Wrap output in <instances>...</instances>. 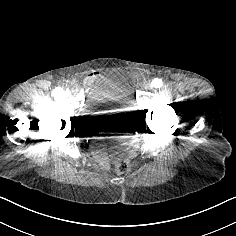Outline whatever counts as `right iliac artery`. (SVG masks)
Returning <instances> with one entry per match:
<instances>
[{
  "instance_id": "right-iliac-artery-1",
  "label": "right iliac artery",
  "mask_w": 236,
  "mask_h": 236,
  "mask_svg": "<svg viewBox=\"0 0 236 236\" xmlns=\"http://www.w3.org/2000/svg\"><path fill=\"white\" fill-rule=\"evenodd\" d=\"M54 96L55 97H63L64 96V92H63V89H61L60 87H57L54 89Z\"/></svg>"
}]
</instances>
